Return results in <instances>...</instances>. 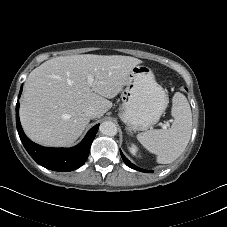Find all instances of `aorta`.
Here are the masks:
<instances>
[{"label":"aorta","instance_id":"1","mask_svg":"<svg viewBox=\"0 0 227 227\" xmlns=\"http://www.w3.org/2000/svg\"><path fill=\"white\" fill-rule=\"evenodd\" d=\"M100 132L105 136H115L117 134V126L112 121H104L100 124Z\"/></svg>","mask_w":227,"mask_h":227}]
</instances>
